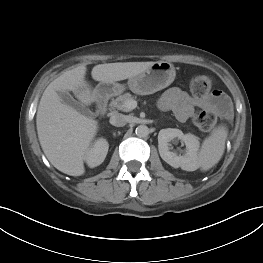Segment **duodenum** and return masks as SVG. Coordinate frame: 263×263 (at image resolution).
<instances>
[{"label": "duodenum", "mask_w": 263, "mask_h": 263, "mask_svg": "<svg viewBox=\"0 0 263 263\" xmlns=\"http://www.w3.org/2000/svg\"><path fill=\"white\" fill-rule=\"evenodd\" d=\"M106 107H107V97L103 91H100L97 94V110L99 113L103 114L106 111Z\"/></svg>", "instance_id": "1"}]
</instances>
